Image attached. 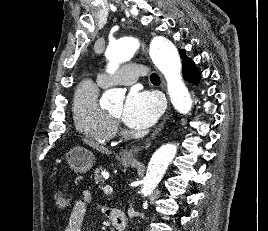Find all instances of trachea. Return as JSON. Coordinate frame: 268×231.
<instances>
[{
    "instance_id": "trachea-1",
    "label": "trachea",
    "mask_w": 268,
    "mask_h": 231,
    "mask_svg": "<svg viewBox=\"0 0 268 231\" xmlns=\"http://www.w3.org/2000/svg\"><path fill=\"white\" fill-rule=\"evenodd\" d=\"M150 80L153 81V82H159L160 81V77L156 74V73H153L150 77Z\"/></svg>"
}]
</instances>
